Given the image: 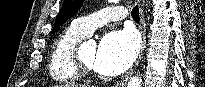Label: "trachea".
Here are the masks:
<instances>
[{"instance_id":"obj_1","label":"trachea","mask_w":205,"mask_h":87,"mask_svg":"<svg viewBox=\"0 0 205 87\" xmlns=\"http://www.w3.org/2000/svg\"><path fill=\"white\" fill-rule=\"evenodd\" d=\"M131 15H132V18L134 19V21L136 22H139V8L138 6H135L132 11H131Z\"/></svg>"}]
</instances>
